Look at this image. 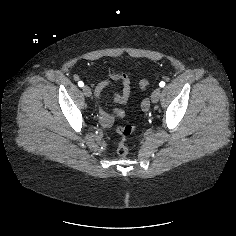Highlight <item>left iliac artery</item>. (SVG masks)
Segmentation results:
<instances>
[{"label": "left iliac artery", "mask_w": 236, "mask_h": 236, "mask_svg": "<svg viewBox=\"0 0 236 236\" xmlns=\"http://www.w3.org/2000/svg\"><path fill=\"white\" fill-rule=\"evenodd\" d=\"M159 86H160V87H164V86H165V82H164V81H161V82L159 83Z\"/></svg>", "instance_id": "obj_1"}]
</instances>
